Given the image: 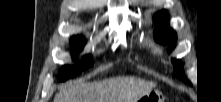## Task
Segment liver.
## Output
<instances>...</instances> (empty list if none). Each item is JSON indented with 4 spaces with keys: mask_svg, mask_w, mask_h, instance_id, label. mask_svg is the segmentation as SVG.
Here are the masks:
<instances>
[{
    "mask_svg": "<svg viewBox=\"0 0 221 102\" xmlns=\"http://www.w3.org/2000/svg\"><path fill=\"white\" fill-rule=\"evenodd\" d=\"M155 86L154 82L130 76L79 82L63 87L54 102H137Z\"/></svg>",
    "mask_w": 221,
    "mask_h": 102,
    "instance_id": "1",
    "label": "liver"
}]
</instances>
